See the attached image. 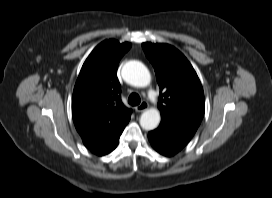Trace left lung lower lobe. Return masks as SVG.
Segmentation results:
<instances>
[{"instance_id":"left-lung-lower-lobe-1","label":"left lung lower lobe","mask_w":272,"mask_h":198,"mask_svg":"<svg viewBox=\"0 0 272 198\" xmlns=\"http://www.w3.org/2000/svg\"><path fill=\"white\" fill-rule=\"evenodd\" d=\"M195 131L161 120L159 127L148 133L153 148L162 155L173 156L193 137Z\"/></svg>"}]
</instances>
